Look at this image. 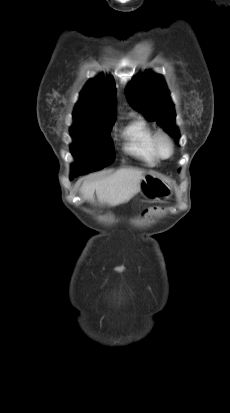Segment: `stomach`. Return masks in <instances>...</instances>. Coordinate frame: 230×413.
Listing matches in <instances>:
<instances>
[{
  "instance_id": "1",
  "label": "stomach",
  "mask_w": 230,
  "mask_h": 413,
  "mask_svg": "<svg viewBox=\"0 0 230 413\" xmlns=\"http://www.w3.org/2000/svg\"><path fill=\"white\" fill-rule=\"evenodd\" d=\"M139 192L149 200L161 201L171 195V188L164 177L155 172H148L140 181Z\"/></svg>"
}]
</instances>
